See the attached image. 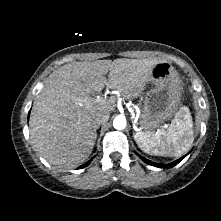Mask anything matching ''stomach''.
<instances>
[{"label":"stomach","instance_id":"1","mask_svg":"<svg viewBox=\"0 0 221 221\" xmlns=\"http://www.w3.org/2000/svg\"><path fill=\"white\" fill-rule=\"evenodd\" d=\"M148 82L151 89L144 100L141 127L152 130L170 119L181 100V80L175 68L166 61L157 63Z\"/></svg>","mask_w":221,"mask_h":221}]
</instances>
